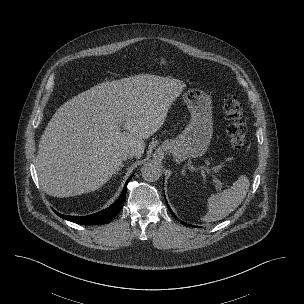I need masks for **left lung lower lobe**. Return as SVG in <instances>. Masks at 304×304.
Segmentation results:
<instances>
[{
  "label": "left lung lower lobe",
  "mask_w": 304,
  "mask_h": 304,
  "mask_svg": "<svg viewBox=\"0 0 304 304\" xmlns=\"http://www.w3.org/2000/svg\"><path fill=\"white\" fill-rule=\"evenodd\" d=\"M165 201H166V199H165ZM166 204H167V206H168L169 211L171 212V214L177 219L176 215H175V214L172 212V210L170 209V207H169L167 201H166ZM182 224L185 225V226H188V227H197V226H192V225L186 224V223H184V222H182Z\"/></svg>",
  "instance_id": "0a47b994"
}]
</instances>
